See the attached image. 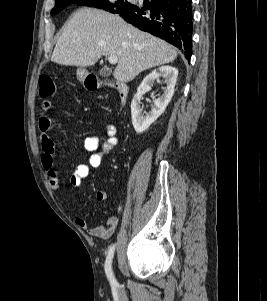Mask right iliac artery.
Instances as JSON below:
<instances>
[{
    "mask_svg": "<svg viewBox=\"0 0 267 301\" xmlns=\"http://www.w3.org/2000/svg\"><path fill=\"white\" fill-rule=\"evenodd\" d=\"M114 252H115V245H112L108 251V255L105 261V273L111 285L116 284V279L112 271V259L114 256Z\"/></svg>",
    "mask_w": 267,
    "mask_h": 301,
    "instance_id": "82829eb1",
    "label": "right iliac artery"
}]
</instances>
